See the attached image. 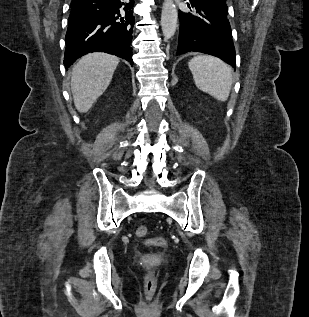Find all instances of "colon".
Here are the masks:
<instances>
[{"label": "colon", "mask_w": 309, "mask_h": 317, "mask_svg": "<svg viewBox=\"0 0 309 317\" xmlns=\"http://www.w3.org/2000/svg\"><path fill=\"white\" fill-rule=\"evenodd\" d=\"M148 229L145 226H139L135 230V235L139 238H143L147 235ZM147 245L166 247L167 241L164 238L156 237L151 238L145 242ZM156 290V278L153 271H149L145 276V293L147 298H152Z\"/></svg>", "instance_id": "colon-1"}]
</instances>
